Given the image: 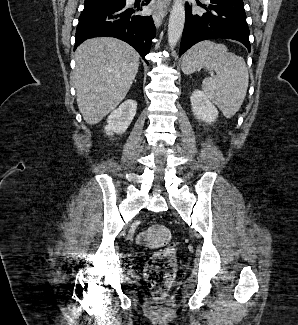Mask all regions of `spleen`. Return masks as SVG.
Here are the masks:
<instances>
[{"label": "spleen", "instance_id": "obj_1", "mask_svg": "<svg viewBox=\"0 0 298 325\" xmlns=\"http://www.w3.org/2000/svg\"><path fill=\"white\" fill-rule=\"evenodd\" d=\"M198 68L214 70L215 76H207L202 82L203 92L226 118L239 110L246 96L249 74L242 56L228 52L225 44L202 40L189 48L182 62L184 74H192Z\"/></svg>", "mask_w": 298, "mask_h": 325}]
</instances>
